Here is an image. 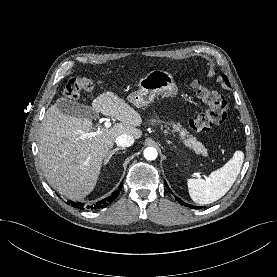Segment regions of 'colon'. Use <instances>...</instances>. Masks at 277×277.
<instances>
[{
	"instance_id": "5ec220e1",
	"label": "colon",
	"mask_w": 277,
	"mask_h": 277,
	"mask_svg": "<svg viewBox=\"0 0 277 277\" xmlns=\"http://www.w3.org/2000/svg\"><path fill=\"white\" fill-rule=\"evenodd\" d=\"M192 87L205 108L189 121V125L196 132H210L214 125L225 121L228 108L227 101L218 91L199 81H194ZM94 88L95 85L91 79L85 76L72 77L65 85L64 95L70 100H76L81 91L90 92Z\"/></svg>"
}]
</instances>
